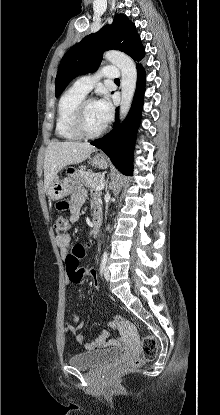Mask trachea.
Segmentation results:
<instances>
[{
  "label": "trachea",
  "mask_w": 220,
  "mask_h": 415,
  "mask_svg": "<svg viewBox=\"0 0 220 415\" xmlns=\"http://www.w3.org/2000/svg\"><path fill=\"white\" fill-rule=\"evenodd\" d=\"M114 81L115 82H120V79L119 78H116Z\"/></svg>",
  "instance_id": "3493384b"
}]
</instances>
